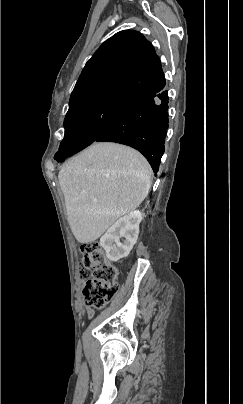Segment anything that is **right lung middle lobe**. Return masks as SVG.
Returning <instances> with one entry per match:
<instances>
[{
	"instance_id": "obj_1",
	"label": "right lung middle lobe",
	"mask_w": 243,
	"mask_h": 404,
	"mask_svg": "<svg viewBox=\"0 0 243 404\" xmlns=\"http://www.w3.org/2000/svg\"><path fill=\"white\" fill-rule=\"evenodd\" d=\"M126 102L105 99L68 111L64 120L65 136L54 159L63 161L92 144Z\"/></svg>"
}]
</instances>
